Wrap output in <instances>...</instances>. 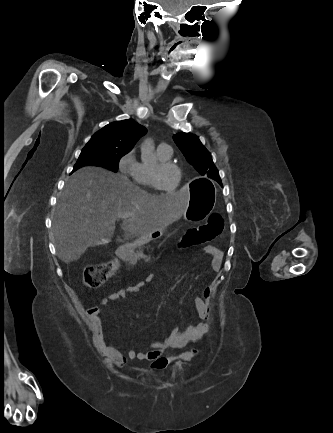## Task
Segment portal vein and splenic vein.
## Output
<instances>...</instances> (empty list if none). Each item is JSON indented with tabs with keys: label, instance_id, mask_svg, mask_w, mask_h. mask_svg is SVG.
<instances>
[{
	"label": "portal vein and splenic vein",
	"instance_id": "18ae733b",
	"mask_svg": "<svg viewBox=\"0 0 333 433\" xmlns=\"http://www.w3.org/2000/svg\"><path fill=\"white\" fill-rule=\"evenodd\" d=\"M131 216V214H129V213H123V212H121V213H118L117 214V219H122V220H124V219H127L128 217H130Z\"/></svg>",
	"mask_w": 333,
	"mask_h": 433
}]
</instances>
